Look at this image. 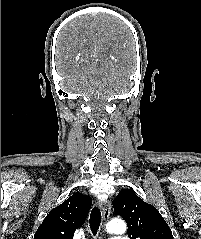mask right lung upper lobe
Instances as JSON below:
<instances>
[{
	"label": "right lung upper lobe",
	"mask_w": 201,
	"mask_h": 239,
	"mask_svg": "<svg viewBox=\"0 0 201 239\" xmlns=\"http://www.w3.org/2000/svg\"><path fill=\"white\" fill-rule=\"evenodd\" d=\"M92 199L79 192L52 209L34 235V239H72L85 221Z\"/></svg>",
	"instance_id": "cb5924a9"
}]
</instances>
